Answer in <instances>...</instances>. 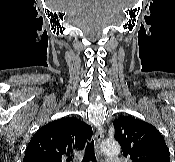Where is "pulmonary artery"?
Masks as SVG:
<instances>
[{"instance_id": "pulmonary-artery-1", "label": "pulmonary artery", "mask_w": 175, "mask_h": 162, "mask_svg": "<svg viewBox=\"0 0 175 162\" xmlns=\"http://www.w3.org/2000/svg\"><path fill=\"white\" fill-rule=\"evenodd\" d=\"M106 162H124V160L120 158H112V159L106 160Z\"/></svg>"}]
</instances>
